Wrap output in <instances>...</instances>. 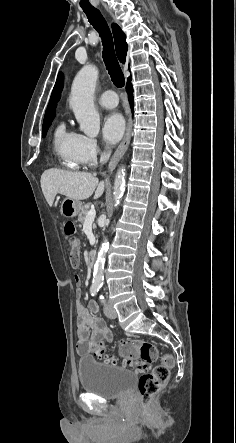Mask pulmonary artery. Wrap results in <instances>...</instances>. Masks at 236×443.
Segmentation results:
<instances>
[{"label":"pulmonary artery","instance_id":"1","mask_svg":"<svg viewBox=\"0 0 236 443\" xmlns=\"http://www.w3.org/2000/svg\"><path fill=\"white\" fill-rule=\"evenodd\" d=\"M98 102L105 108H114L118 104V99L114 91L108 90L99 96Z\"/></svg>","mask_w":236,"mask_h":443}]
</instances>
